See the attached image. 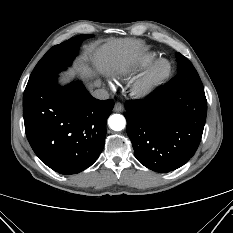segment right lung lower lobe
Returning <instances> with one entry per match:
<instances>
[{
	"label": "right lung lower lobe",
	"instance_id": "98d812e1",
	"mask_svg": "<svg viewBox=\"0 0 233 233\" xmlns=\"http://www.w3.org/2000/svg\"><path fill=\"white\" fill-rule=\"evenodd\" d=\"M112 99L92 97L80 82L62 88L57 75L23 95L27 139L35 154L51 169L76 174L90 167L104 147Z\"/></svg>",
	"mask_w": 233,
	"mask_h": 233
}]
</instances>
